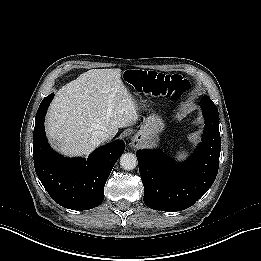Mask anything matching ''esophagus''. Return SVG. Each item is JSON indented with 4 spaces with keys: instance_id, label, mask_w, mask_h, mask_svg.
<instances>
[{
    "instance_id": "esophagus-1",
    "label": "esophagus",
    "mask_w": 261,
    "mask_h": 261,
    "mask_svg": "<svg viewBox=\"0 0 261 261\" xmlns=\"http://www.w3.org/2000/svg\"><path fill=\"white\" fill-rule=\"evenodd\" d=\"M140 146V140L134 138L131 142V147L138 148Z\"/></svg>"
}]
</instances>
